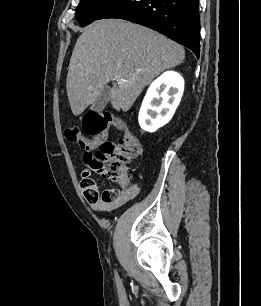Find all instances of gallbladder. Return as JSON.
Wrapping results in <instances>:
<instances>
[{"mask_svg": "<svg viewBox=\"0 0 261 306\" xmlns=\"http://www.w3.org/2000/svg\"><path fill=\"white\" fill-rule=\"evenodd\" d=\"M111 96V88L105 86L95 102L92 104L91 109L95 112H101L106 104L109 102Z\"/></svg>", "mask_w": 261, "mask_h": 306, "instance_id": "bac80fb5", "label": "gallbladder"}]
</instances>
